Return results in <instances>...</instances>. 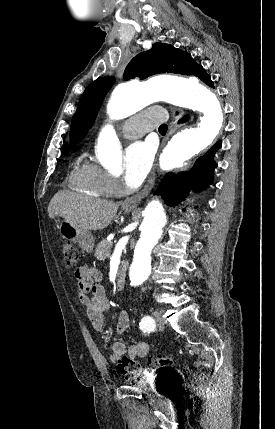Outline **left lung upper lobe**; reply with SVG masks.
Segmentation results:
<instances>
[{
  "label": "left lung upper lobe",
  "mask_w": 275,
  "mask_h": 429,
  "mask_svg": "<svg viewBox=\"0 0 275 429\" xmlns=\"http://www.w3.org/2000/svg\"><path fill=\"white\" fill-rule=\"evenodd\" d=\"M200 68L202 66L198 65L187 52L169 44L155 43L151 50L138 54L130 61L125 69L124 79L129 80L136 76L145 79L158 73L197 76ZM113 82L112 77H101L86 88L72 118L70 136L73 145L81 141L92 126L101 102Z\"/></svg>",
  "instance_id": "5c2ea615"
}]
</instances>
